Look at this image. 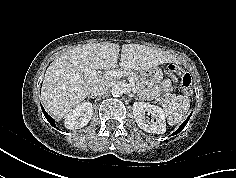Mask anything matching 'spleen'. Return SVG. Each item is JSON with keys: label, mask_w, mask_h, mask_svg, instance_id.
<instances>
[{"label": "spleen", "mask_w": 236, "mask_h": 178, "mask_svg": "<svg viewBox=\"0 0 236 178\" xmlns=\"http://www.w3.org/2000/svg\"><path fill=\"white\" fill-rule=\"evenodd\" d=\"M190 102L188 96L165 94L162 107L169 125H176L185 119L190 108Z\"/></svg>", "instance_id": "obj_1"}]
</instances>
